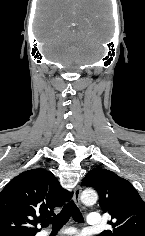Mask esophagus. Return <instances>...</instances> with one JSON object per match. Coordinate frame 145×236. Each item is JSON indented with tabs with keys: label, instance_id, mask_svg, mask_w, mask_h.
Instances as JSON below:
<instances>
[{
	"label": "esophagus",
	"instance_id": "1",
	"mask_svg": "<svg viewBox=\"0 0 145 236\" xmlns=\"http://www.w3.org/2000/svg\"><path fill=\"white\" fill-rule=\"evenodd\" d=\"M81 187L77 186L74 190L73 199L77 205H80Z\"/></svg>",
	"mask_w": 145,
	"mask_h": 236
}]
</instances>
